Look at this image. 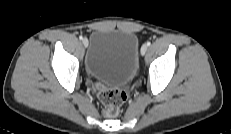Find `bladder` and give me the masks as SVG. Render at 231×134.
<instances>
[{
    "mask_svg": "<svg viewBox=\"0 0 231 134\" xmlns=\"http://www.w3.org/2000/svg\"><path fill=\"white\" fill-rule=\"evenodd\" d=\"M139 40L127 30L93 31L85 56V70L96 82L109 87H125L138 71Z\"/></svg>",
    "mask_w": 231,
    "mask_h": 134,
    "instance_id": "1",
    "label": "bladder"
}]
</instances>
